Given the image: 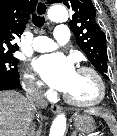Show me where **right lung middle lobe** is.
Masks as SVG:
<instances>
[{
  "label": "right lung middle lobe",
  "mask_w": 117,
  "mask_h": 136,
  "mask_svg": "<svg viewBox=\"0 0 117 136\" xmlns=\"http://www.w3.org/2000/svg\"><path fill=\"white\" fill-rule=\"evenodd\" d=\"M18 59L13 55H0V76H15L19 77L17 65Z\"/></svg>",
  "instance_id": "1"
}]
</instances>
